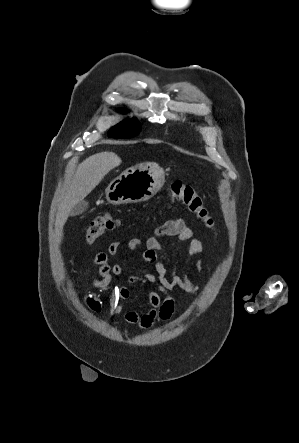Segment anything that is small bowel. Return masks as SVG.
Instances as JSON below:
<instances>
[{
  "label": "small bowel",
  "mask_w": 299,
  "mask_h": 443,
  "mask_svg": "<svg viewBox=\"0 0 299 443\" xmlns=\"http://www.w3.org/2000/svg\"><path fill=\"white\" fill-rule=\"evenodd\" d=\"M171 237L177 242L188 241L186 247V255L188 258L202 252L203 244L198 239H193V231L186 226L181 218H175L166 221L158 226L153 235L145 241V251L143 252L144 261L153 265L154 272L146 271L141 276H130L128 282L130 284L141 282L146 285H153L157 291H149L148 302L150 309L145 313L137 311H125L124 301L129 297L130 291L126 286L114 285L115 277L121 276L124 269L119 264H111L109 256H117L121 251V243L113 242L109 245L107 252H99L95 255L94 261L99 266L100 278L95 279L93 285L101 290L111 289L110 306L116 313H124L126 323L135 325L141 329L150 328L155 320H169L175 309V301L170 292L179 288L187 293L195 294L199 290V285L190 281L185 272H178L174 268H168L164 260L159 255L162 244L160 237ZM142 241L139 238H133L129 241L130 250H136L140 247ZM198 272L203 271V263L199 260L196 264ZM89 306L94 311L100 310V302L91 297L88 301Z\"/></svg>",
  "instance_id": "1"
}]
</instances>
